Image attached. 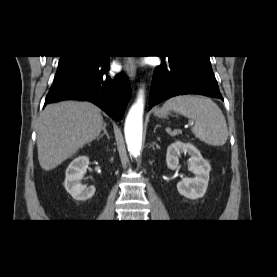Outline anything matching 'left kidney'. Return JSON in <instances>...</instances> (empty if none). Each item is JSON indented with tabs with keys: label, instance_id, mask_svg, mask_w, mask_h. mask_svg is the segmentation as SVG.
<instances>
[{
	"label": "left kidney",
	"instance_id": "obj_1",
	"mask_svg": "<svg viewBox=\"0 0 277 277\" xmlns=\"http://www.w3.org/2000/svg\"><path fill=\"white\" fill-rule=\"evenodd\" d=\"M181 153H188L189 166L188 169L195 177L186 178L177 183L178 192L189 199H198L206 193L210 164L202 157L199 150L190 143L176 141L168 146L166 154V163L169 169L176 170L179 168V156Z\"/></svg>",
	"mask_w": 277,
	"mask_h": 277
}]
</instances>
